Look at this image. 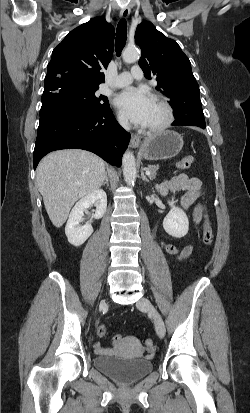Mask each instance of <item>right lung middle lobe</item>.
I'll return each instance as SVG.
<instances>
[{
    "instance_id": "dd1d6c3e",
    "label": "right lung middle lobe",
    "mask_w": 250,
    "mask_h": 413,
    "mask_svg": "<svg viewBox=\"0 0 250 413\" xmlns=\"http://www.w3.org/2000/svg\"><path fill=\"white\" fill-rule=\"evenodd\" d=\"M98 87L64 86L42 95L40 115L56 106H68L88 110L109 108L107 97L97 95Z\"/></svg>"
}]
</instances>
